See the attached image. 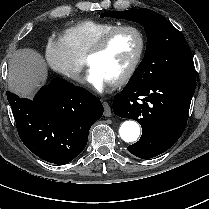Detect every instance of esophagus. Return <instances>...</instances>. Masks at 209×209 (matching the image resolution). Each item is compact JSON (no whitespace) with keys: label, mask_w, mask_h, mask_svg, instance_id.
<instances>
[{"label":"esophagus","mask_w":209,"mask_h":209,"mask_svg":"<svg viewBox=\"0 0 209 209\" xmlns=\"http://www.w3.org/2000/svg\"><path fill=\"white\" fill-rule=\"evenodd\" d=\"M103 107H104V116L109 117L111 116V107L107 102H103Z\"/></svg>","instance_id":"1"}]
</instances>
